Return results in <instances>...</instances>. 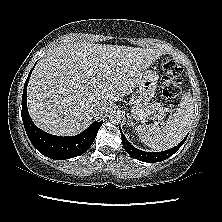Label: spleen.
<instances>
[{"instance_id": "spleen-1", "label": "spleen", "mask_w": 222, "mask_h": 222, "mask_svg": "<svg viewBox=\"0 0 222 222\" xmlns=\"http://www.w3.org/2000/svg\"><path fill=\"white\" fill-rule=\"evenodd\" d=\"M194 116V102L192 95H183L175 113L161 126H138L136 131L141 141L150 148L161 151L172 148L180 143L188 133Z\"/></svg>"}]
</instances>
